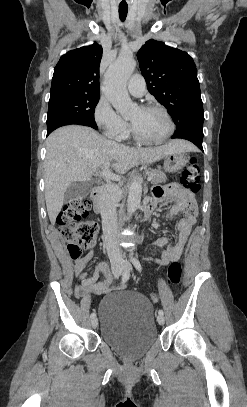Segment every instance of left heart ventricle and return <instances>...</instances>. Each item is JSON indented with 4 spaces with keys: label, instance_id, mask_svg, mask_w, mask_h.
I'll use <instances>...</instances> for the list:
<instances>
[{
    "label": "left heart ventricle",
    "instance_id": "1",
    "mask_svg": "<svg viewBox=\"0 0 247 407\" xmlns=\"http://www.w3.org/2000/svg\"><path fill=\"white\" fill-rule=\"evenodd\" d=\"M137 133L147 140H158L168 131L164 115L157 110H144L137 107L128 117Z\"/></svg>",
    "mask_w": 247,
    "mask_h": 407
}]
</instances>
